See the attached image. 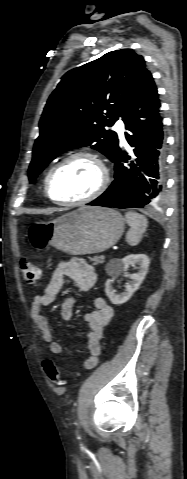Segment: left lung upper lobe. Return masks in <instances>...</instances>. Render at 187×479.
<instances>
[{
  "instance_id": "obj_1",
  "label": "left lung upper lobe",
  "mask_w": 187,
  "mask_h": 479,
  "mask_svg": "<svg viewBox=\"0 0 187 479\" xmlns=\"http://www.w3.org/2000/svg\"><path fill=\"white\" fill-rule=\"evenodd\" d=\"M149 75L143 57L132 49L111 51L68 71L44 108L28 170L30 183L70 149L91 146L113 161L119 140L106 127L120 117L125 120Z\"/></svg>"
}]
</instances>
